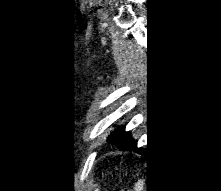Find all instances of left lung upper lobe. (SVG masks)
<instances>
[{"instance_id":"1","label":"left lung upper lobe","mask_w":221,"mask_h":191,"mask_svg":"<svg viewBox=\"0 0 221 191\" xmlns=\"http://www.w3.org/2000/svg\"><path fill=\"white\" fill-rule=\"evenodd\" d=\"M109 143L116 145L120 149H135L137 141L132 137L131 132H126L124 126H120L107 138Z\"/></svg>"}]
</instances>
